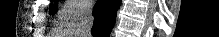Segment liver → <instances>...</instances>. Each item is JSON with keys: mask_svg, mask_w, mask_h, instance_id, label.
Here are the masks:
<instances>
[{"mask_svg": "<svg viewBox=\"0 0 219 37\" xmlns=\"http://www.w3.org/2000/svg\"><path fill=\"white\" fill-rule=\"evenodd\" d=\"M70 27H71V29L61 31V33H59V35H76L74 37H79V36H77L78 25L72 24ZM60 37H65V36H60ZM69 37H73V36H69Z\"/></svg>", "mask_w": 219, "mask_h": 37, "instance_id": "1", "label": "liver"}]
</instances>
